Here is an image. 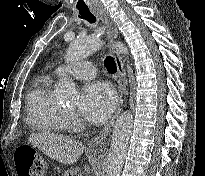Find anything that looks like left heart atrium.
I'll list each match as a JSON object with an SVG mask.
<instances>
[{
	"label": "left heart atrium",
	"mask_w": 205,
	"mask_h": 176,
	"mask_svg": "<svg viewBox=\"0 0 205 176\" xmlns=\"http://www.w3.org/2000/svg\"><path fill=\"white\" fill-rule=\"evenodd\" d=\"M116 103L112 87L102 81H94L83 87L79 109L90 121L102 123L108 119Z\"/></svg>",
	"instance_id": "1"
}]
</instances>
